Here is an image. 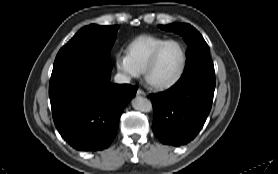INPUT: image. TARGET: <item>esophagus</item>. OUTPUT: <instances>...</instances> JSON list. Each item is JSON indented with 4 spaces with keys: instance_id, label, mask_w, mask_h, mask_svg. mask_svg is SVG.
I'll return each instance as SVG.
<instances>
[{
    "instance_id": "34e87169",
    "label": "esophagus",
    "mask_w": 278,
    "mask_h": 174,
    "mask_svg": "<svg viewBox=\"0 0 278 174\" xmlns=\"http://www.w3.org/2000/svg\"><path fill=\"white\" fill-rule=\"evenodd\" d=\"M137 95L145 96L146 93L142 89L137 90Z\"/></svg>"
}]
</instances>
